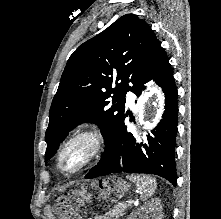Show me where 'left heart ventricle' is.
I'll list each match as a JSON object with an SVG mask.
<instances>
[{
	"instance_id": "obj_1",
	"label": "left heart ventricle",
	"mask_w": 221,
	"mask_h": 219,
	"mask_svg": "<svg viewBox=\"0 0 221 219\" xmlns=\"http://www.w3.org/2000/svg\"><path fill=\"white\" fill-rule=\"evenodd\" d=\"M89 151L88 143L85 141L75 142L69 147L62 157L61 166L65 171L76 169L86 157Z\"/></svg>"
}]
</instances>
